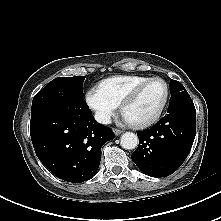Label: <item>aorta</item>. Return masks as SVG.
I'll return each mask as SVG.
<instances>
[{"label":"aorta","mask_w":221,"mask_h":221,"mask_svg":"<svg viewBox=\"0 0 221 221\" xmlns=\"http://www.w3.org/2000/svg\"><path fill=\"white\" fill-rule=\"evenodd\" d=\"M121 146L126 150H132L138 146V137L133 132H125L121 136Z\"/></svg>","instance_id":"1"}]
</instances>
